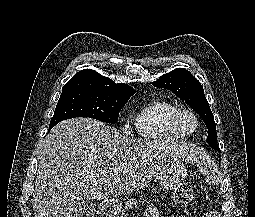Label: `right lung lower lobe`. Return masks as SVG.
<instances>
[{"label": "right lung lower lobe", "instance_id": "98d812e1", "mask_svg": "<svg viewBox=\"0 0 255 217\" xmlns=\"http://www.w3.org/2000/svg\"><path fill=\"white\" fill-rule=\"evenodd\" d=\"M55 125H50L49 126V131L54 127Z\"/></svg>", "mask_w": 255, "mask_h": 217}]
</instances>
